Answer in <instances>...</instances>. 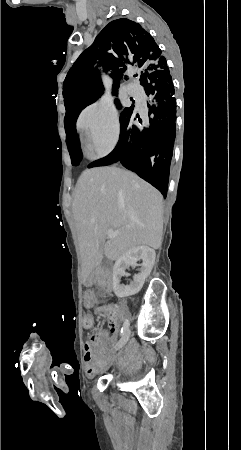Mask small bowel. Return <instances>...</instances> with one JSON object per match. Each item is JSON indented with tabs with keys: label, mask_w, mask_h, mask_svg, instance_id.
I'll use <instances>...</instances> for the list:
<instances>
[{
	"label": "small bowel",
	"mask_w": 241,
	"mask_h": 450,
	"mask_svg": "<svg viewBox=\"0 0 241 450\" xmlns=\"http://www.w3.org/2000/svg\"><path fill=\"white\" fill-rule=\"evenodd\" d=\"M88 289L92 288L91 284L87 285ZM97 302V298L94 293L88 291L84 296V303L86 307H92ZM94 325V322H93ZM93 325H84L86 328H91ZM108 329L100 327L91 336L89 342L84 346V361L86 364V372L89 376H95L101 371L106 363L108 353L113 349L114 336L111 335L118 332V329L122 326L121 319H108ZM137 343L134 340L129 342L131 349L136 348ZM94 347L98 348V353L94 352ZM129 367L133 368L138 363L136 356L129 358Z\"/></svg>",
	"instance_id": "1"
}]
</instances>
